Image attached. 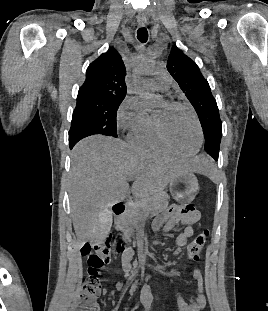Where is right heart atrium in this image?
<instances>
[{"label":"right heart atrium","instance_id":"obj_1","mask_svg":"<svg viewBox=\"0 0 268 311\" xmlns=\"http://www.w3.org/2000/svg\"><path fill=\"white\" fill-rule=\"evenodd\" d=\"M148 114L138 97L128 96L121 103L117 113V126L121 130H133L140 125Z\"/></svg>","mask_w":268,"mask_h":311}]
</instances>
